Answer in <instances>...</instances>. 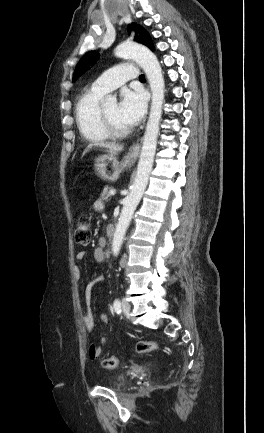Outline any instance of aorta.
I'll return each instance as SVG.
<instances>
[{
	"label": "aorta",
	"mask_w": 264,
	"mask_h": 433,
	"mask_svg": "<svg viewBox=\"0 0 264 433\" xmlns=\"http://www.w3.org/2000/svg\"><path fill=\"white\" fill-rule=\"evenodd\" d=\"M115 55L120 58L133 59L140 65L148 78L152 93L150 114L143 137L136 177L130 193L124 199L112 240V252L114 256H117L134 211L146 190L152 171L162 116L165 84L159 61L147 47L138 43L124 42L117 46ZM108 100L115 101V98L109 97Z\"/></svg>",
	"instance_id": "aorta-1"
}]
</instances>
